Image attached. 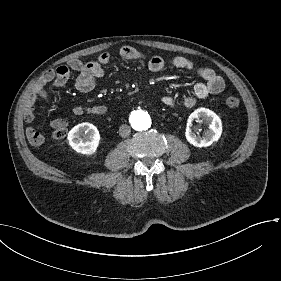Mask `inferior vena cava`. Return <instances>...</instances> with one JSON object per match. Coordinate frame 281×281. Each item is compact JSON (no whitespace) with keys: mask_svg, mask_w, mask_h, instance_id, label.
<instances>
[{"mask_svg":"<svg viewBox=\"0 0 281 281\" xmlns=\"http://www.w3.org/2000/svg\"><path fill=\"white\" fill-rule=\"evenodd\" d=\"M130 133H131V129H130V127L128 125L123 124V125L120 126V128H119V135L121 137L126 138V137H128L130 135Z\"/></svg>","mask_w":281,"mask_h":281,"instance_id":"obj_1","label":"inferior vena cava"}]
</instances>
